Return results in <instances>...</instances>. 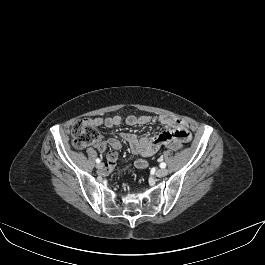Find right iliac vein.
Here are the masks:
<instances>
[{
  "instance_id": "obj_1",
  "label": "right iliac vein",
  "mask_w": 265,
  "mask_h": 265,
  "mask_svg": "<svg viewBox=\"0 0 265 265\" xmlns=\"http://www.w3.org/2000/svg\"><path fill=\"white\" fill-rule=\"evenodd\" d=\"M103 167H104V164L103 163H98L96 165V168L99 169V170L103 169Z\"/></svg>"
}]
</instances>
